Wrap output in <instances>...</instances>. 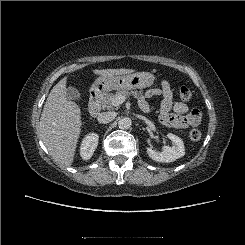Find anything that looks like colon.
<instances>
[{"label":"colon","instance_id":"colon-1","mask_svg":"<svg viewBox=\"0 0 245 245\" xmlns=\"http://www.w3.org/2000/svg\"><path fill=\"white\" fill-rule=\"evenodd\" d=\"M179 97L182 101H189L192 97V91L186 87V86H182L179 89ZM202 137V133L199 129H192L189 132V138L192 141H199Z\"/></svg>","mask_w":245,"mask_h":245}]
</instances>
